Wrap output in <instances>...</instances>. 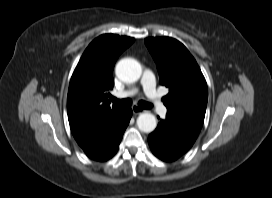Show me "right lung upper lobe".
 Instances as JSON below:
<instances>
[{
  "label": "right lung upper lobe",
  "instance_id": "1",
  "mask_svg": "<svg viewBox=\"0 0 272 198\" xmlns=\"http://www.w3.org/2000/svg\"><path fill=\"white\" fill-rule=\"evenodd\" d=\"M134 42V38L103 34L84 51L69 84L67 112L72 134L80 141L121 109L110 106L109 91L118 56Z\"/></svg>",
  "mask_w": 272,
  "mask_h": 198
}]
</instances>
